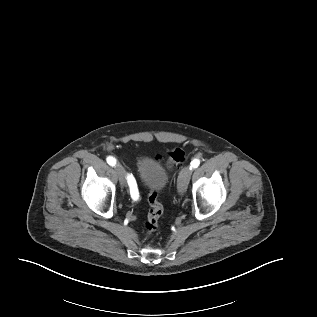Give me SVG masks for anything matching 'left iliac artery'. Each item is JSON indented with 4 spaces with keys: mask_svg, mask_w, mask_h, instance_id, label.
Segmentation results:
<instances>
[{
    "mask_svg": "<svg viewBox=\"0 0 317 317\" xmlns=\"http://www.w3.org/2000/svg\"><path fill=\"white\" fill-rule=\"evenodd\" d=\"M199 164H200V160L199 159H194L192 162H191V166H190V168L192 169V168H197L198 166H199Z\"/></svg>",
    "mask_w": 317,
    "mask_h": 317,
    "instance_id": "obj_1",
    "label": "left iliac artery"
}]
</instances>
